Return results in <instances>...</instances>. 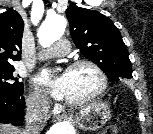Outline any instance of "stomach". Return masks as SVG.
I'll return each instance as SVG.
<instances>
[{
    "instance_id": "0dacf381",
    "label": "stomach",
    "mask_w": 153,
    "mask_h": 134,
    "mask_svg": "<svg viewBox=\"0 0 153 134\" xmlns=\"http://www.w3.org/2000/svg\"><path fill=\"white\" fill-rule=\"evenodd\" d=\"M111 117L108 104L103 102H92L84 106L76 114V123L80 129L85 131H96L102 128Z\"/></svg>"
}]
</instances>
